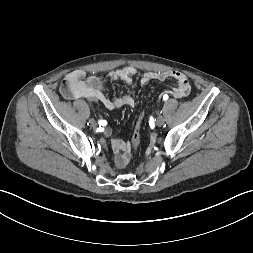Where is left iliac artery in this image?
Listing matches in <instances>:
<instances>
[{
	"instance_id": "44dca946",
	"label": "left iliac artery",
	"mask_w": 253,
	"mask_h": 253,
	"mask_svg": "<svg viewBox=\"0 0 253 253\" xmlns=\"http://www.w3.org/2000/svg\"><path fill=\"white\" fill-rule=\"evenodd\" d=\"M163 98H164V100H167V99H168V96L165 95Z\"/></svg>"
}]
</instances>
